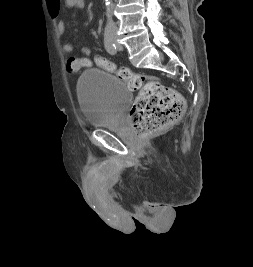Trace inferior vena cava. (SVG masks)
<instances>
[{
    "instance_id": "602c4592",
    "label": "inferior vena cava",
    "mask_w": 253,
    "mask_h": 267,
    "mask_svg": "<svg viewBox=\"0 0 253 267\" xmlns=\"http://www.w3.org/2000/svg\"><path fill=\"white\" fill-rule=\"evenodd\" d=\"M112 8H113V4H111V10H109V16H108V24L110 28H114V22L112 20Z\"/></svg>"
}]
</instances>
